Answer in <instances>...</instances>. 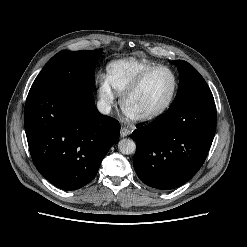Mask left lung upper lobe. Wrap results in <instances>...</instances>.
<instances>
[{
  "instance_id": "left-lung-upper-lobe-1",
  "label": "left lung upper lobe",
  "mask_w": 247,
  "mask_h": 247,
  "mask_svg": "<svg viewBox=\"0 0 247 247\" xmlns=\"http://www.w3.org/2000/svg\"><path fill=\"white\" fill-rule=\"evenodd\" d=\"M170 63L177 66L180 75L178 92L172 104L193 96H213L203 77L191 64L183 60Z\"/></svg>"
}]
</instances>
